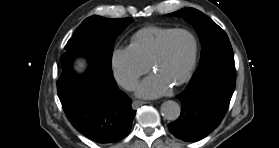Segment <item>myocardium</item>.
I'll return each instance as SVG.
<instances>
[{
	"instance_id": "1",
	"label": "myocardium",
	"mask_w": 279,
	"mask_h": 148,
	"mask_svg": "<svg viewBox=\"0 0 279 148\" xmlns=\"http://www.w3.org/2000/svg\"><path fill=\"white\" fill-rule=\"evenodd\" d=\"M179 33H186L188 34L192 40H193V52H192V57L189 63V66L187 68V70L184 72V74L174 83L175 86H179L182 85L183 83H185L190 76L192 75L195 66H196V62H197V57H198V40L197 37L195 36V34L188 30V29H184V28H178V29H174L171 32H169L162 40L157 52L155 53V55L153 56L149 66H150V70L153 71L154 66L165 56L166 53V47H167V43L168 41L176 34Z\"/></svg>"
}]
</instances>
